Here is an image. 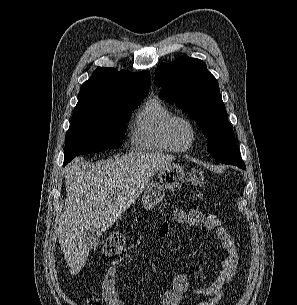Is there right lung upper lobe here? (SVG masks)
<instances>
[{
	"mask_svg": "<svg viewBox=\"0 0 297 305\" xmlns=\"http://www.w3.org/2000/svg\"><path fill=\"white\" fill-rule=\"evenodd\" d=\"M150 87L148 71L118 72L113 68H97L80 88L76 107L108 105L114 102L144 98Z\"/></svg>",
	"mask_w": 297,
	"mask_h": 305,
	"instance_id": "obj_1",
	"label": "right lung upper lobe"
}]
</instances>
